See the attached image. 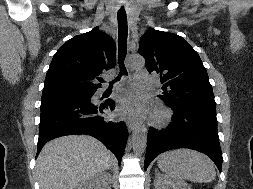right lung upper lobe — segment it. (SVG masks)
<instances>
[{
	"label": "right lung upper lobe",
	"instance_id": "1",
	"mask_svg": "<svg viewBox=\"0 0 253 189\" xmlns=\"http://www.w3.org/2000/svg\"><path fill=\"white\" fill-rule=\"evenodd\" d=\"M116 64V44L95 27L63 44L47 71L43 91L76 89L96 91L93 80Z\"/></svg>",
	"mask_w": 253,
	"mask_h": 189
}]
</instances>
